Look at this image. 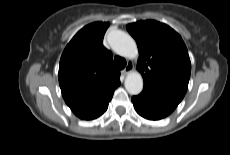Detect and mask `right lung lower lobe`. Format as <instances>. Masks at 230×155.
I'll use <instances>...</instances> for the list:
<instances>
[{
    "instance_id": "right-lung-lower-lobe-1",
    "label": "right lung lower lobe",
    "mask_w": 230,
    "mask_h": 155,
    "mask_svg": "<svg viewBox=\"0 0 230 155\" xmlns=\"http://www.w3.org/2000/svg\"><path fill=\"white\" fill-rule=\"evenodd\" d=\"M105 111H106V110H105ZM105 111H103L101 114H99V115H97L96 117L91 118V119H95V118L99 117V116L102 115ZM91 119H88V120H91Z\"/></svg>"
}]
</instances>
